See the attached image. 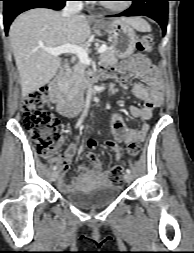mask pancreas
Listing matches in <instances>:
<instances>
[{"label":"pancreas","instance_id":"1","mask_svg":"<svg viewBox=\"0 0 194 253\" xmlns=\"http://www.w3.org/2000/svg\"><path fill=\"white\" fill-rule=\"evenodd\" d=\"M100 61L113 65L117 63L116 52L113 48H107V50L100 55ZM87 65L78 62L67 73L65 79V90L70 96H76L87 84L90 72L86 70Z\"/></svg>","mask_w":194,"mask_h":253}]
</instances>
